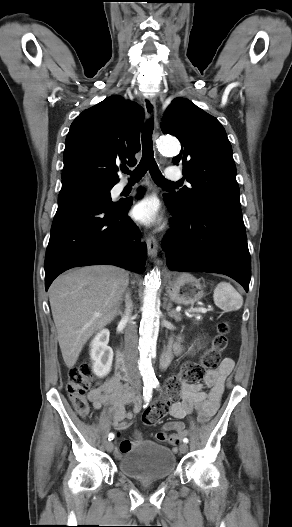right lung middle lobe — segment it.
<instances>
[{
  "instance_id": "obj_1",
  "label": "right lung middle lobe",
  "mask_w": 292,
  "mask_h": 527,
  "mask_svg": "<svg viewBox=\"0 0 292 527\" xmlns=\"http://www.w3.org/2000/svg\"><path fill=\"white\" fill-rule=\"evenodd\" d=\"M114 185L103 184L88 178H75L62 182V188L59 195L65 193H82L90 194L101 200L112 203L110 190Z\"/></svg>"
}]
</instances>
